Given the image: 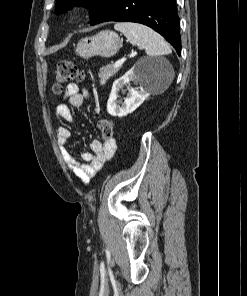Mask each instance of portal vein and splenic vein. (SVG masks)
Wrapping results in <instances>:
<instances>
[{"instance_id":"1","label":"portal vein and splenic vein","mask_w":247,"mask_h":296,"mask_svg":"<svg viewBox=\"0 0 247 296\" xmlns=\"http://www.w3.org/2000/svg\"><path fill=\"white\" fill-rule=\"evenodd\" d=\"M126 58L122 57L121 59H118L115 63H114V67H120L123 65V63L125 62Z\"/></svg>"}]
</instances>
